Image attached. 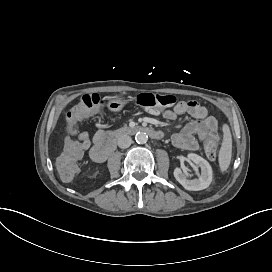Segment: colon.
Masks as SVG:
<instances>
[{"mask_svg": "<svg viewBox=\"0 0 272 272\" xmlns=\"http://www.w3.org/2000/svg\"><path fill=\"white\" fill-rule=\"evenodd\" d=\"M176 102L175 96L162 94H140L136 97L138 106L151 111L159 112L165 108L172 107ZM103 103V99L98 94H86L81 98L80 103L67 112L66 119V135L61 142L62 151L60 159L57 161L60 177L64 181H70L72 172L76 171L79 166L78 159L82 150L77 145L78 140L75 134L77 127L80 125V119L91 118L93 109L99 108ZM216 121L209 119L204 122L203 127L207 132L206 147L209 148L208 156L211 159L216 158L218 145V137L216 134Z\"/></svg>", "mask_w": 272, "mask_h": 272, "instance_id": "obj_1", "label": "colon"}]
</instances>
